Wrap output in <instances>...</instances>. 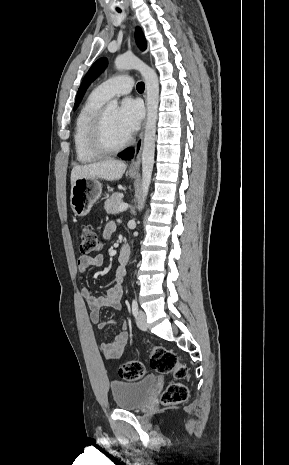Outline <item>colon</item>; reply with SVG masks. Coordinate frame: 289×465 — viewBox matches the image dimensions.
Wrapping results in <instances>:
<instances>
[{
  "mask_svg": "<svg viewBox=\"0 0 289 465\" xmlns=\"http://www.w3.org/2000/svg\"><path fill=\"white\" fill-rule=\"evenodd\" d=\"M102 242L95 229L91 226H84L80 236V250L84 254L100 251ZM150 366L153 370L161 374L172 373L178 380L187 376L188 369L181 363L173 350L162 346H155L150 355ZM146 375V366L140 359H131L123 363L119 368V376L125 381H138ZM188 390L181 383L170 384L162 395L165 404H177L185 401Z\"/></svg>",
  "mask_w": 289,
  "mask_h": 465,
  "instance_id": "colon-1",
  "label": "colon"
}]
</instances>
